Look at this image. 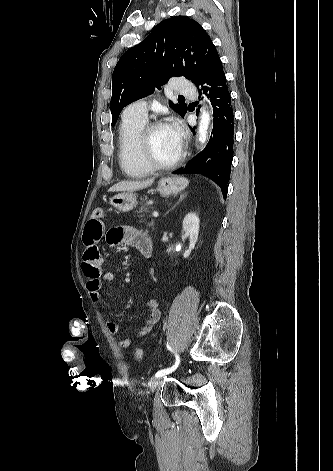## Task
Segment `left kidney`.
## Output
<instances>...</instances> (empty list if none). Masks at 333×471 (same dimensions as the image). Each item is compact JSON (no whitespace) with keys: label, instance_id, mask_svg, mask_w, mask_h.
Returning a JSON list of instances; mask_svg holds the SVG:
<instances>
[{"label":"left kidney","instance_id":"5707ae66","mask_svg":"<svg viewBox=\"0 0 333 471\" xmlns=\"http://www.w3.org/2000/svg\"><path fill=\"white\" fill-rule=\"evenodd\" d=\"M199 217L196 213H188L183 220V231L189 237V248L184 252L183 257L187 258L194 249L199 235Z\"/></svg>","mask_w":333,"mask_h":471}]
</instances>
